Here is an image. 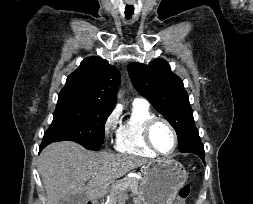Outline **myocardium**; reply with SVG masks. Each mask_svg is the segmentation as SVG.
Masks as SVG:
<instances>
[{"label":"myocardium","instance_id":"myocardium-1","mask_svg":"<svg viewBox=\"0 0 253 204\" xmlns=\"http://www.w3.org/2000/svg\"><path fill=\"white\" fill-rule=\"evenodd\" d=\"M157 123H163L165 124L169 130L171 131L172 135H173V139H174V144H173V148L170 152L168 153H164V152H161L153 143L152 141V138H151V133H152V129L153 127L157 124ZM143 139H144V142L146 144V146L151 150L153 151L155 154L157 155H160V156H164V157H169V156H172L176 150H177V147H178V143H179V140H178V135H177V132L175 130V128L173 127V125L165 118H162V117H153L151 119H149L144 127H143Z\"/></svg>","mask_w":253,"mask_h":204}]
</instances>
